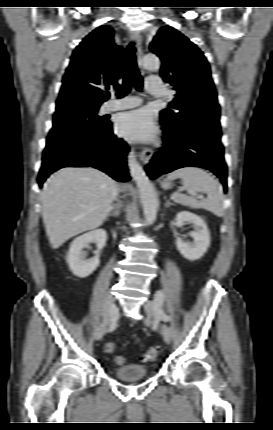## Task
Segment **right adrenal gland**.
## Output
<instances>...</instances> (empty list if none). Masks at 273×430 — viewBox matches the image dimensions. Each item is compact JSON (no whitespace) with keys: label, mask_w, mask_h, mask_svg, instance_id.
Returning a JSON list of instances; mask_svg holds the SVG:
<instances>
[{"label":"right adrenal gland","mask_w":273,"mask_h":430,"mask_svg":"<svg viewBox=\"0 0 273 430\" xmlns=\"http://www.w3.org/2000/svg\"><path fill=\"white\" fill-rule=\"evenodd\" d=\"M121 207H122V205H121L120 201H118L117 204L114 207H112V209L109 212V214L107 215V217H110V216L119 217Z\"/></svg>","instance_id":"obj_1"}]
</instances>
